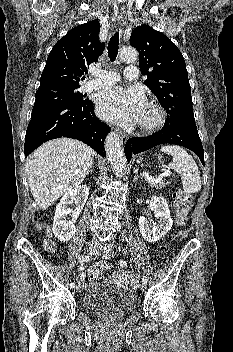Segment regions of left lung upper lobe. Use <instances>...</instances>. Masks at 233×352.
Wrapping results in <instances>:
<instances>
[{
  "label": "left lung upper lobe",
  "mask_w": 233,
  "mask_h": 352,
  "mask_svg": "<svg viewBox=\"0 0 233 352\" xmlns=\"http://www.w3.org/2000/svg\"><path fill=\"white\" fill-rule=\"evenodd\" d=\"M130 44L139 52L144 81L166 109L169 124H195L191 89L184 58L178 47L149 25L135 28Z\"/></svg>",
  "instance_id": "obj_1"
}]
</instances>
